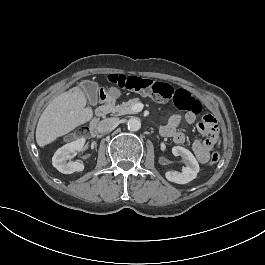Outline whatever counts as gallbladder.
Returning <instances> with one entry per match:
<instances>
[{
	"label": "gallbladder",
	"mask_w": 265,
	"mask_h": 265,
	"mask_svg": "<svg viewBox=\"0 0 265 265\" xmlns=\"http://www.w3.org/2000/svg\"><path fill=\"white\" fill-rule=\"evenodd\" d=\"M79 87L82 90H85L87 96L89 97V101L93 105H96L98 102V97H97L98 85L90 81H82L79 84Z\"/></svg>",
	"instance_id": "gallbladder-1"
}]
</instances>
